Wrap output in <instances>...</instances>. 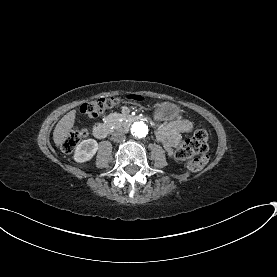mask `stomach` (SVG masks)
<instances>
[{
  "instance_id": "1",
  "label": "stomach",
  "mask_w": 277,
  "mask_h": 277,
  "mask_svg": "<svg viewBox=\"0 0 277 277\" xmlns=\"http://www.w3.org/2000/svg\"><path fill=\"white\" fill-rule=\"evenodd\" d=\"M155 111L163 120H173L180 112L176 105L170 103L156 104Z\"/></svg>"
}]
</instances>
